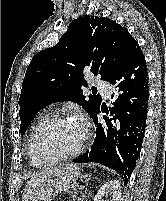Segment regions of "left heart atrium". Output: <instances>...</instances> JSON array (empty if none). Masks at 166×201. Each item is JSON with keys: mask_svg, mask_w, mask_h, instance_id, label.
I'll return each mask as SVG.
<instances>
[{"mask_svg": "<svg viewBox=\"0 0 166 201\" xmlns=\"http://www.w3.org/2000/svg\"><path fill=\"white\" fill-rule=\"evenodd\" d=\"M75 123L81 130L83 136H85V134L87 133V129H88V122H87L86 118L82 115H79V116H77Z\"/></svg>", "mask_w": 166, "mask_h": 201, "instance_id": "1", "label": "left heart atrium"}]
</instances>
